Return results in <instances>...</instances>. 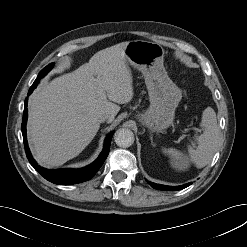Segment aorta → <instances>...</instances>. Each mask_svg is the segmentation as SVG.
Returning a JSON list of instances; mask_svg holds the SVG:
<instances>
[{
    "mask_svg": "<svg viewBox=\"0 0 247 247\" xmlns=\"http://www.w3.org/2000/svg\"><path fill=\"white\" fill-rule=\"evenodd\" d=\"M114 139L119 147H130L134 143V134L130 129L121 128L115 132Z\"/></svg>",
    "mask_w": 247,
    "mask_h": 247,
    "instance_id": "762f6f07",
    "label": "aorta"
}]
</instances>
